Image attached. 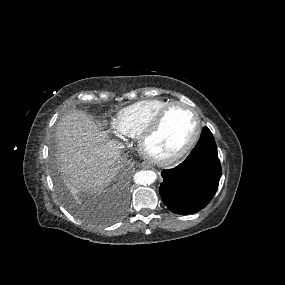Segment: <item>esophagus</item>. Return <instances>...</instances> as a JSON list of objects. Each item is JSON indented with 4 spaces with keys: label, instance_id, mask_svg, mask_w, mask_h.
<instances>
[{
    "label": "esophagus",
    "instance_id": "obj_1",
    "mask_svg": "<svg viewBox=\"0 0 285 285\" xmlns=\"http://www.w3.org/2000/svg\"><path fill=\"white\" fill-rule=\"evenodd\" d=\"M141 167H142V168H145V169L151 168L150 164H148V163H146V162H143V163L141 164Z\"/></svg>",
    "mask_w": 285,
    "mask_h": 285
}]
</instances>
